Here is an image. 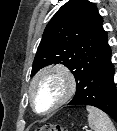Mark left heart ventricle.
I'll return each instance as SVG.
<instances>
[{"label":"left heart ventricle","instance_id":"obj_1","mask_svg":"<svg viewBox=\"0 0 117 131\" xmlns=\"http://www.w3.org/2000/svg\"><path fill=\"white\" fill-rule=\"evenodd\" d=\"M64 93V82L57 75H48L42 78L36 85L34 97L37 109L46 111L61 98Z\"/></svg>","mask_w":117,"mask_h":131}]
</instances>
